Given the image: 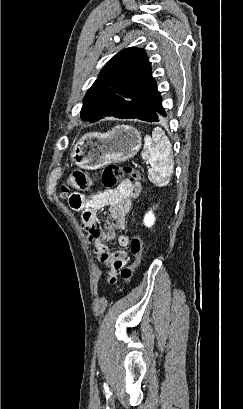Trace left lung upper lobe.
<instances>
[{"instance_id": "left-lung-upper-lobe-1", "label": "left lung upper lobe", "mask_w": 243, "mask_h": 409, "mask_svg": "<svg viewBox=\"0 0 243 409\" xmlns=\"http://www.w3.org/2000/svg\"><path fill=\"white\" fill-rule=\"evenodd\" d=\"M157 87L146 52L126 48L101 70L84 97L81 119L96 122L108 112L125 113V107L140 101Z\"/></svg>"}]
</instances>
